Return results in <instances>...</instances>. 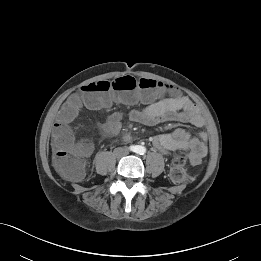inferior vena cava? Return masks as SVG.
Listing matches in <instances>:
<instances>
[{
    "mask_svg": "<svg viewBox=\"0 0 261 261\" xmlns=\"http://www.w3.org/2000/svg\"><path fill=\"white\" fill-rule=\"evenodd\" d=\"M120 151L122 156H125L129 153V150L127 148H121Z\"/></svg>",
    "mask_w": 261,
    "mask_h": 261,
    "instance_id": "602c4592",
    "label": "inferior vena cava"
}]
</instances>
